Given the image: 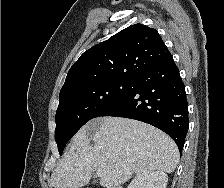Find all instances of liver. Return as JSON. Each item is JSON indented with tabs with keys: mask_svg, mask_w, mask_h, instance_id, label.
I'll list each match as a JSON object with an SVG mask.
<instances>
[{
	"mask_svg": "<svg viewBox=\"0 0 224 188\" xmlns=\"http://www.w3.org/2000/svg\"><path fill=\"white\" fill-rule=\"evenodd\" d=\"M178 160L177 145L159 129L132 119L97 118L73 137L70 150L51 175L50 186L83 187L93 171L102 170L101 186L121 188L133 174L172 173Z\"/></svg>",
	"mask_w": 224,
	"mask_h": 188,
	"instance_id": "1",
	"label": "liver"
}]
</instances>
